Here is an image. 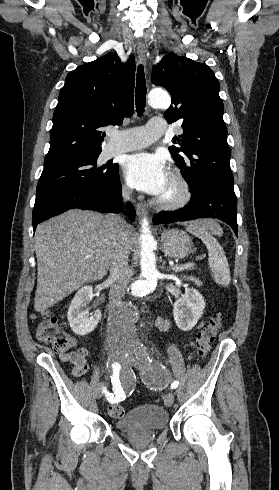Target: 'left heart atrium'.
<instances>
[{"instance_id":"1","label":"left heart atrium","mask_w":279,"mask_h":490,"mask_svg":"<svg viewBox=\"0 0 279 490\" xmlns=\"http://www.w3.org/2000/svg\"><path fill=\"white\" fill-rule=\"evenodd\" d=\"M127 182L134 188L161 198L170 183L164 159L146 152L128 156L124 163Z\"/></svg>"}]
</instances>
